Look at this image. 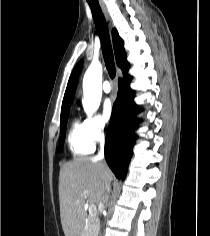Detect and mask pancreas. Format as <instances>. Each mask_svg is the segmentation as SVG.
Listing matches in <instances>:
<instances>
[{"instance_id":"1","label":"pancreas","mask_w":210,"mask_h":236,"mask_svg":"<svg viewBox=\"0 0 210 236\" xmlns=\"http://www.w3.org/2000/svg\"><path fill=\"white\" fill-rule=\"evenodd\" d=\"M98 219L96 217L89 218L84 228L82 236H97Z\"/></svg>"}]
</instances>
